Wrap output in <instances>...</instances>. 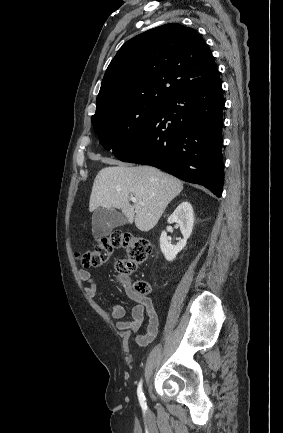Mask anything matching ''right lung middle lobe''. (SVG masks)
<instances>
[{"mask_svg": "<svg viewBox=\"0 0 283 433\" xmlns=\"http://www.w3.org/2000/svg\"><path fill=\"white\" fill-rule=\"evenodd\" d=\"M164 104L136 102L103 110L92 117L100 142L115 155L126 150Z\"/></svg>", "mask_w": 283, "mask_h": 433, "instance_id": "1", "label": "right lung middle lobe"}]
</instances>
